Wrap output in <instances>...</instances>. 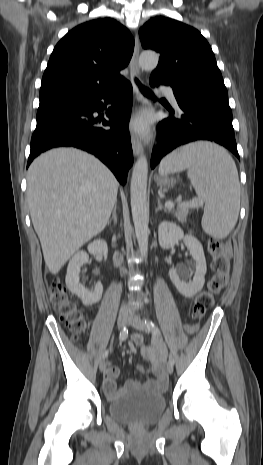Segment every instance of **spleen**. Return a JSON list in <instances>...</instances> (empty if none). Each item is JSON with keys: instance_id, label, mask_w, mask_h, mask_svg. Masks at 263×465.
Returning a JSON list of instances; mask_svg holds the SVG:
<instances>
[{"instance_id": "1", "label": "spleen", "mask_w": 263, "mask_h": 465, "mask_svg": "<svg viewBox=\"0 0 263 465\" xmlns=\"http://www.w3.org/2000/svg\"><path fill=\"white\" fill-rule=\"evenodd\" d=\"M183 170L205 202L203 230L214 238H225L236 225L240 209V184L233 159L214 143L196 142L172 152L159 165L161 176Z\"/></svg>"}]
</instances>
